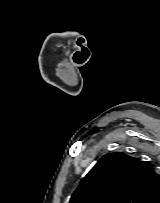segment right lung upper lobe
<instances>
[{
  "instance_id": "cb5924a9",
  "label": "right lung upper lobe",
  "mask_w": 160,
  "mask_h": 203,
  "mask_svg": "<svg viewBox=\"0 0 160 203\" xmlns=\"http://www.w3.org/2000/svg\"><path fill=\"white\" fill-rule=\"evenodd\" d=\"M160 196V175L123 152L104 155L69 203H150Z\"/></svg>"
}]
</instances>
